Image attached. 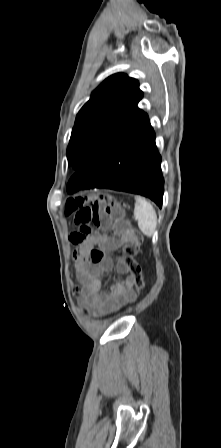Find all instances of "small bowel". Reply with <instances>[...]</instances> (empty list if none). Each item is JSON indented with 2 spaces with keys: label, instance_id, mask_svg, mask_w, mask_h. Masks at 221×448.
Instances as JSON below:
<instances>
[{
  "label": "small bowel",
  "instance_id": "small-bowel-1",
  "mask_svg": "<svg viewBox=\"0 0 221 448\" xmlns=\"http://www.w3.org/2000/svg\"><path fill=\"white\" fill-rule=\"evenodd\" d=\"M112 236L93 235L82 239L78 231L68 234V240L76 246L75 267L82 284L83 305L96 316H106L135 299L133 278L121 262L115 263L109 255L97 264L85 259L93 245H98L107 253L117 250L131 240L130 235L119 225L111 227ZM115 269L120 275L109 290L103 288V275Z\"/></svg>",
  "mask_w": 221,
  "mask_h": 448
}]
</instances>
